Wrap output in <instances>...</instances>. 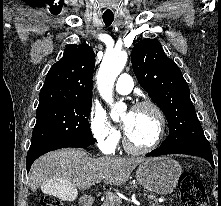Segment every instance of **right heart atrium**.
<instances>
[{
  "label": "right heart atrium",
  "mask_w": 221,
  "mask_h": 206,
  "mask_svg": "<svg viewBox=\"0 0 221 206\" xmlns=\"http://www.w3.org/2000/svg\"><path fill=\"white\" fill-rule=\"evenodd\" d=\"M89 127L91 134L103 153H113L120 140V133L110 124L105 112L92 107L89 114Z\"/></svg>",
  "instance_id": "obj_1"
}]
</instances>
